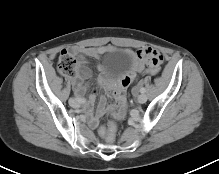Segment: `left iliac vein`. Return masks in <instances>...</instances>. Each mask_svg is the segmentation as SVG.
<instances>
[{
	"mask_svg": "<svg viewBox=\"0 0 219 174\" xmlns=\"http://www.w3.org/2000/svg\"><path fill=\"white\" fill-rule=\"evenodd\" d=\"M137 101L141 104L145 103L147 101V96L145 94H139L137 96Z\"/></svg>",
	"mask_w": 219,
	"mask_h": 174,
	"instance_id": "left-iliac-vein-1",
	"label": "left iliac vein"
}]
</instances>
